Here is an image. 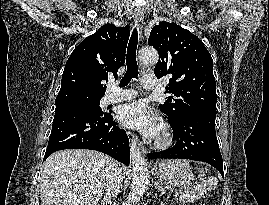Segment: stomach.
<instances>
[{
    "label": "stomach",
    "mask_w": 269,
    "mask_h": 205,
    "mask_svg": "<svg viewBox=\"0 0 269 205\" xmlns=\"http://www.w3.org/2000/svg\"><path fill=\"white\" fill-rule=\"evenodd\" d=\"M154 170L161 182L183 188L188 193V199L200 195V192L194 189L195 176L187 161L164 160L158 163Z\"/></svg>",
    "instance_id": "obj_1"
}]
</instances>
